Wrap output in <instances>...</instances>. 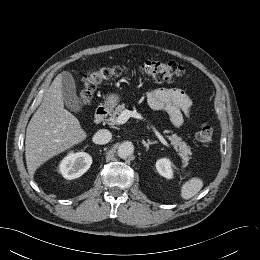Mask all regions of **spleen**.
Here are the masks:
<instances>
[{
    "label": "spleen",
    "mask_w": 260,
    "mask_h": 260,
    "mask_svg": "<svg viewBox=\"0 0 260 260\" xmlns=\"http://www.w3.org/2000/svg\"><path fill=\"white\" fill-rule=\"evenodd\" d=\"M203 187V181L200 178L193 177L185 182L181 187V197L188 200L194 197Z\"/></svg>",
    "instance_id": "obj_1"
}]
</instances>
